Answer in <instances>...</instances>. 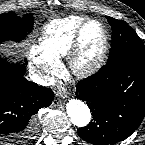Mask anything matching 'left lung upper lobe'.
I'll list each match as a JSON object with an SVG mask.
<instances>
[{
	"label": "left lung upper lobe",
	"mask_w": 145,
	"mask_h": 145,
	"mask_svg": "<svg viewBox=\"0 0 145 145\" xmlns=\"http://www.w3.org/2000/svg\"><path fill=\"white\" fill-rule=\"evenodd\" d=\"M113 34L107 63L133 60L145 63V46L134 30L124 21L107 16Z\"/></svg>",
	"instance_id": "1"
}]
</instances>
